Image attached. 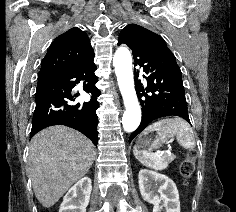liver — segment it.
Here are the masks:
<instances>
[{
	"mask_svg": "<svg viewBox=\"0 0 236 212\" xmlns=\"http://www.w3.org/2000/svg\"><path fill=\"white\" fill-rule=\"evenodd\" d=\"M93 143L80 132L63 125L37 133L29 146V174L38 201L52 207L82 179L95 159Z\"/></svg>",
	"mask_w": 236,
	"mask_h": 212,
	"instance_id": "1",
	"label": "liver"
}]
</instances>
